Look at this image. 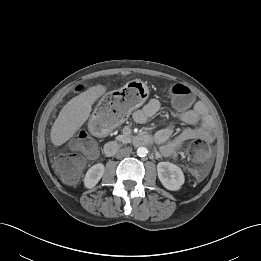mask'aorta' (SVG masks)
Returning <instances> with one entry per match:
<instances>
[{
	"instance_id": "aorta-1",
	"label": "aorta",
	"mask_w": 261,
	"mask_h": 261,
	"mask_svg": "<svg viewBox=\"0 0 261 261\" xmlns=\"http://www.w3.org/2000/svg\"><path fill=\"white\" fill-rule=\"evenodd\" d=\"M147 153H148V150H147L146 147H139V148L137 149V155H138L139 157H145V156L147 155Z\"/></svg>"
}]
</instances>
